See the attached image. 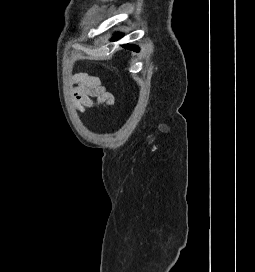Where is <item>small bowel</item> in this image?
<instances>
[{
	"label": "small bowel",
	"mask_w": 255,
	"mask_h": 272,
	"mask_svg": "<svg viewBox=\"0 0 255 272\" xmlns=\"http://www.w3.org/2000/svg\"><path fill=\"white\" fill-rule=\"evenodd\" d=\"M72 82L75 85L73 99L79 110L107 107L113 104V95L102 86L98 77L87 73H76Z\"/></svg>",
	"instance_id": "small-bowel-1"
}]
</instances>
